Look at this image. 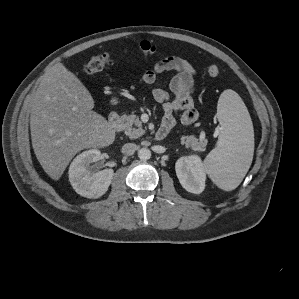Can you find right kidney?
<instances>
[{
  "label": "right kidney",
  "instance_id": "ca27d5eb",
  "mask_svg": "<svg viewBox=\"0 0 299 299\" xmlns=\"http://www.w3.org/2000/svg\"><path fill=\"white\" fill-rule=\"evenodd\" d=\"M101 152L90 149L79 154L69 167V181L79 195L87 198H99L110 186L114 171L105 169L95 172L91 163L100 160Z\"/></svg>",
  "mask_w": 299,
  "mask_h": 299
}]
</instances>
